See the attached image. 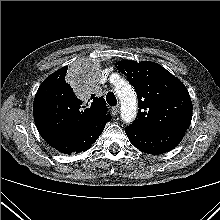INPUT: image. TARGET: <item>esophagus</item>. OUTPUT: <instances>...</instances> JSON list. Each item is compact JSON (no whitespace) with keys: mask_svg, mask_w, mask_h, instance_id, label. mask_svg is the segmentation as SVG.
Here are the masks:
<instances>
[{"mask_svg":"<svg viewBox=\"0 0 220 220\" xmlns=\"http://www.w3.org/2000/svg\"><path fill=\"white\" fill-rule=\"evenodd\" d=\"M111 113H112L113 116L118 115V113H119V107H113V108L111 109Z\"/></svg>","mask_w":220,"mask_h":220,"instance_id":"esophagus-1","label":"esophagus"}]
</instances>
